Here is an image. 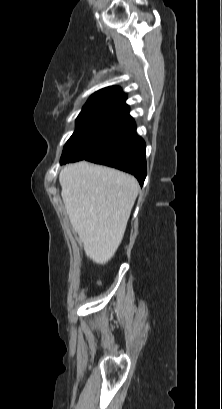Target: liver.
I'll list each match as a JSON object with an SVG mask.
<instances>
[{
  "mask_svg": "<svg viewBox=\"0 0 222 409\" xmlns=\"http://www.w3.org/2000/svg\"><path fill=\"white\" fill-rule=\"evenodd\" d=\"M59 182L66 212L87 257L106 264L122 242L139 191L137 180L116 169L80 161L65 166Z\"/></svg>",
  "mask_w": 222,
  "mask_h": 409,
  "instance_id": "6515ba94",
  "label": "liver"
}]
</instances>
